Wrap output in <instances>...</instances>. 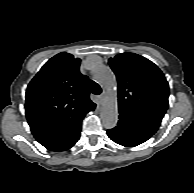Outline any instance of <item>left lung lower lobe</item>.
Here are the masks:
<instances>
[{
    "instance_id": "0a47b994",
    "label": "left lung lower lobe",
    "mask_w": 194,
    "mask_h": 193,
    "mask_svg": "<svg viewBox=\"0 0 194 193\" xmlns=\"http://www.w3.org/2000/svg\"><path fill=\"white\" fill-rule=\"evenodd\" d=\"M159 126L140 118L120 113L115 128L109 129L107 134L111 140L126 147H135L148 140Z\"/></svg>"
}]
</instances>
